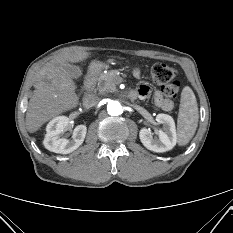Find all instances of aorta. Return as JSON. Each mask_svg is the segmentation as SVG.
Returning a JSON list of instances; mask_svg holds the SVG:
<instances>
[{
    "label": "aorta",
    "mask_w": 233,
    "mask_h": 233,
    "mask_svg": "<svg viewBox=\"0 0 233 233\" xmlns=\"http://www.w3.org/2000/svg\"><path fill=\"white\" fill-rule=\"evenodd\" d=\"M107 111L111 116H118L123 113V106L118 101H111L107 105Z\"/></svg>",
    "instance_id": "762f6f07"
}]
</instances>
